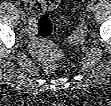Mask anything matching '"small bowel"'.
I'll return each mask as SVG.
<instances>
[{"instance_id":"obj_1","label":"small bowel","mask_w":111,"mask_h":106,"mask_svg":"<svg viewBox=\"0 0 111 106\" xmlns=\"http://www.w3.org/2000/svg\"><path fill=\"white\" fill-rule=\"evenodd\" d=\"M60 2L59 0H34L26 1V5L32 14H38L41 11L54 10ZM30 31H34L33 26H30Z\"/></svg>"}]
</instances>
